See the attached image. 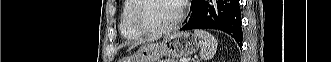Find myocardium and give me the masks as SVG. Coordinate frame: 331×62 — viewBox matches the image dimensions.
<instances>
[{"label": "myocardium", "mask_w": 331, "mask_h": 62, "mask_svg": "<svg viewBox=\"0 0 331 62\" xmlns=\"http://www.w3.org/2000/svg\"><path fill=\"white\" fill-rule=\"evenodd\" d=\"M145 1L147 0H135V6L133 8L132 14H131V22L133 27L142 35L146 36H153V35H159L164 34L167 32H170L181 24L183 21V18L185 16V10H186V4L184 0H176L179 4V13L177 18L169 25L164 27H158V28H150L142 23V21L139 18V12L141 8L143 7Z\"/></svg>", "instance_id": "f54148a6"}]
</instances>
